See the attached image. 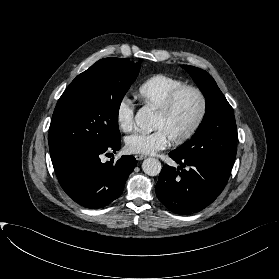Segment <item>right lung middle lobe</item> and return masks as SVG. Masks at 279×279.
Segmentation results:
<instances>
[{"label":"right lung middle lobe","mask_w":279,"mask_h":279,"mask_svg":"<svg viewBox=\"0 0 279 279\" xmlns=\"http://www.w3.org/2000/svg\"><path fill=\"white\" fill-rule=\"evenodd\" d=\"M140 67L128 59L104 58L70 83L52 116L51 158L92 150L120 138L119 107Z\"/></svg>","instance_id":"obj_1"}]
</instances>
